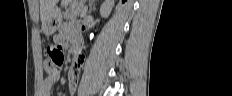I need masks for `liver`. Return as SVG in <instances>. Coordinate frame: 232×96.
<instances>
[{
  "instance_id": "obj_1",
  "label": "liver",
  "mask_w": 232,
  "mask_h": 96,
  "mask_svg": "<svg viewBox=\"0 0 232 96\" xmlns=\"http://www.w3.org/2000/svg\"><path fill=\"white\" fill-rule=\"evenodd\" d=\"M58 0H40V16L42 21V27L45 24L46 19L51 14L52 10L55 8Z\"/></svg>"
}]
</instances>
